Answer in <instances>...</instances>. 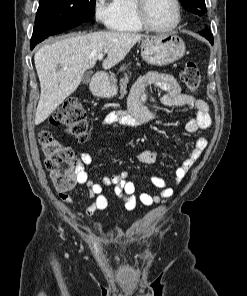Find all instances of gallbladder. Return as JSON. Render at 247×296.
I'll return each instance as SVG.
<instances>
[{
  "label": "gallbladder",
  "mask_w": 247,
  "mask_h": 296,
  "mask_svg": "<svg viewBox=\"0 0 247 296\" xmlns=\"http://www.w3.org/2000/svg\"><path fill=\"white\" fill-rule=\"evenodd\" d=\"M91 79V75L90 74H86L84 77H83V80L85 83H88Z\"/></svg>",
  "instance_id": "obj_1"
}]
</instances>
